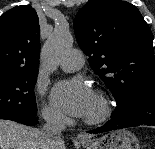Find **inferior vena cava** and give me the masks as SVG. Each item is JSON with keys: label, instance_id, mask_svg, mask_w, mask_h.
<instances>
[{"label": "inferior vena cava", "instance_id": "obj_1", "mask_svg": "<svg viewBox=\"0 0 155 149\" xmlns=\"http://www.w3.org/2000/svg\"><path fill=\"white\" fill-rule=\"evenodd\" d=\"M45 120L43 137L45 149H59L64 143L61 135L65 130L64 116L59 112L49 111L42 114Z\"/></svg>", "mask_w": 155, "mask_h": 149}]
</instances>
